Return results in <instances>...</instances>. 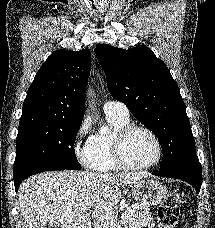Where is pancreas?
<instances>
[{"instance_id":"pancreas-1","label":"pancreas","mask_w":215,"mask_h":228,"mask_svg":"<svg viewBox=\"0 0 215 228\" xmlns=\"http://www.w3.org/2000/svg\"><path fill=\"white\" fill-rule=\"evenodd\" d=\"M152 218L148 206H139L137 204L134 212H131L127 220H121L122 228H147L151 224ZM115 228H119L114 220Z\"/></svg>"}]
</instances>
